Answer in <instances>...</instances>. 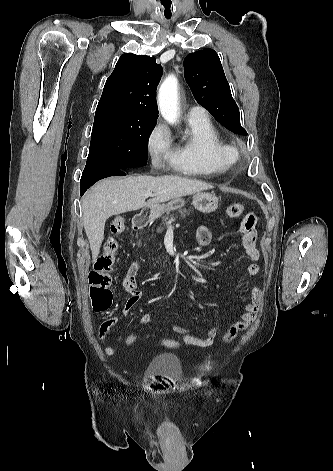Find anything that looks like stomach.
Instances as JSON below:
<instances>
[{
	"mask_svg": "<svg viewBox=\"0 0 333 471\" xmlns=\"http://www.w3.org/2000/svg\"><path fill=\"white\" fill-rule=\"evenodd\" d=\"M192 205L196 210L202 213H211L214 212L219 206V198L214 194L197 192L193 195ZM185 205V200L181 197L172 199L166 204H155L150 206V210L153 216H159L164 212H169L171 210H177L182 208Z\"/></svg>",
	"mask_w": 333,
	"mask_h": 471,
	"instance_id": "obj_1",
	"label": "stomach"
}]
</instances>
